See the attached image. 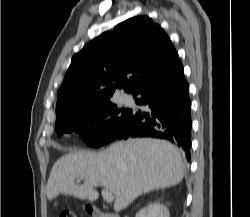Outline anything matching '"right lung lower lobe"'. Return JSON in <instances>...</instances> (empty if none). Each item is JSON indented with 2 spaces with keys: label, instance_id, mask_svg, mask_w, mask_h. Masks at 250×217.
Instances as JSON below:
<instances>
[{
  "label": "right lung lower lobe",
  "instance_id": "1",
  "mask_svg": "<svg viewBox=\"0 0 250 217\" xmlns=\"http://www.w3.org/2000/svg\"><path fill=\"white\" fill-rule=\"evenodd\" d=\"M188 91L177 56L161 74L133 93L134 97L139 96L136 103L147 106L148 110H131L129 121L116 139L143 136L168 139L190 160L192 123Z\"/></svg>",
  "mask_w": 250,
  "mask_h": 217
}]
</instances>
